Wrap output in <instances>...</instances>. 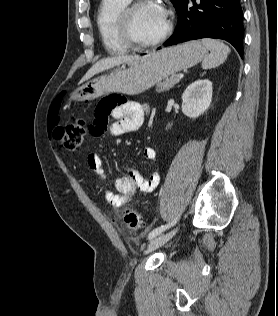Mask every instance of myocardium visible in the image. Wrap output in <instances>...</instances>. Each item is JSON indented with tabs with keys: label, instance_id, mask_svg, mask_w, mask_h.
<instances>
[{
	"label": "myocardium",
	"instance_id": "obj_1",
	"mask_svg": "<svg viewBox=\"0 0 278 316\" xmlns=\"http://www.w3.org/2000/svg\"><path fill=\"white\" fill-rule=\"evenodd\" d=\"M148 3H150L149 0H136L131 4H128L122 10L119 16V30L121 36L126 44L134 49H147L155 47L165 41L172 32V22L169 18H166L165 29L156 39L149 42H142L135 37L132 29L133 14L136 9Z\"/></svg>",
	"mask_w": 278,
	"mask_h": 316
}]
</instances>
